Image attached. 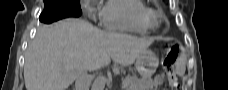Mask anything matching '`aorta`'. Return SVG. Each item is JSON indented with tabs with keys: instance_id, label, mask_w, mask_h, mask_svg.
I'll return each instance as SVG.
<instances>
[{
	"instance_id": "obj_1",
	"label": "aorta",
	"mask_w": 228,
	"mask_h": 90,
	"mask_svg": "<svg viewBox=\"0 0 228 90\" xmlns=\"http://www.w3.org/2000/svg\"><path fill=\"white\" fill-rule=\"evenodd\" d=\"M106 84V78L104 76H100L95 79L92 85V90H104Z\"/></svg>"
}]
</instances>
